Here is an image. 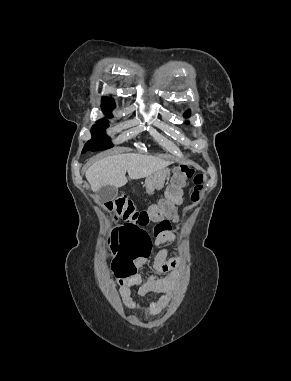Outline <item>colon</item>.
Returning <instances> with one entry per match:
<instances>
[{
  "label": "colon",
  "instance_id": "1",
  "mask_svg": "<svg viewBox=\"0 0 291 381\" xmlns=\"http://www.w3.org/2000/svg\"><path fill=\"white\" fill-rule=\"evenodd\" d=\"M188 178L194 179L192 197L196 199L201 190L200 179L191 167L184 165L172 176L164 195L146 208L139 209L126 196H117L105 203L106 210L125 223L122 227L114 228L106 239L107 255L112 257L115 269H134L133 261L142 253L139 241L146 237V229L150 225H155V229L160 225H163V229L168 228L166 222L174 216L182 199V186Z\"/></svg>",
  "mask_w": 291,
  "mask_h": 381
}]
</instances>
